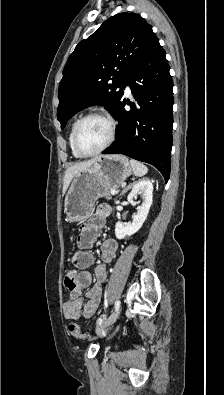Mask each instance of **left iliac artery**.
Segmentation results:
<instances>
[{"label": "left iliac artery", "mask_w": 224, "mask_h": 395, "mask_svg": "<svg viewBox=\"0 0 224 395\" xmlns=\"http://www.w3.org/2000/svg\"><path fill=\"white\" fill-rule=\"evenodd\" d=\"M107 305H105V307H106ZM120 306V301L119 300H117L116 302H115V308H118Z\"/></svg>", "instance_id": "left-iliac-artery-1"}]
</instances>
